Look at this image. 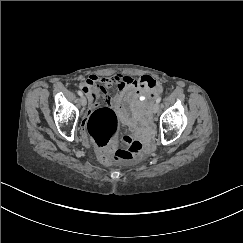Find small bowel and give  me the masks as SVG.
Listing matches in <instances>:
<instances>
[{"instance_id":"c3829d8e","label":"small bowel","mask_w":243,"mask_h":243,"mask_svg":"<svg viewBox=\"0 0 243 243\" xmlns=\"http://www.w3.org/2000/svg\"><path fill=\"white\" fill-rule=\"evenodd\" d=\"M113 84L117 85L118 90L109 98V104L119 120L127 125H133L139 119L145 101H153L162 92L160 84L149 75L139 79L122 74L105 78L90 75L80 84V88L88 96L90 110L96 108L99 95L106 93V89Z\"/></svg>"}]
</instances>
